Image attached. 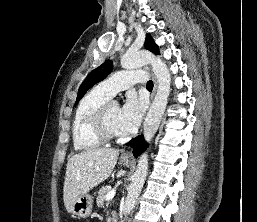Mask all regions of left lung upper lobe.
I'll return each instance as SVG.
<instances>
[{
  "label": "left lung upper lobe",
  "instance_id": "obj_1",
  "mask_svg": "<svg viewBox=\"0 0 257 222\" xmlns=\"http://www.w3.org/2000/svg\"><path fill=\"white\" fill-rule=\"evenodd\" d=\"M145 47L154 52L155 54H159L158 46L153 41L150 35H147L145 40ZM113 69V62L111 60L105 61L96 69L92 70L86 79L81 84L78 95H77V102L84 96V94L89 90L93 85L102 81L106 78V76L112 71Z\"/></svg>",
  "mask_w": 257,
  "mask_h": 222
}]
</instances>
